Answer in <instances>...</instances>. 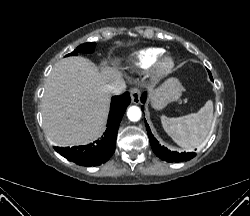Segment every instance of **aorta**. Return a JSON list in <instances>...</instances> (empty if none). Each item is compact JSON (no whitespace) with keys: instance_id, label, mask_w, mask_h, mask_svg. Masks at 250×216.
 I'll use <instances>...</instances> for the list:
<instances>
[{"instance_id":"762f6f07","label":"aorta","mask_w":250,"mask_h":216,"mask_svg":"<svg viewBox=\"0 0 250 216\" xmlns=\"http://www.w3.org/2000/svg\"><path fill=\"white\" fill-rule=\"evenodd\" d=\"M127 116L130 121L136 122L141 118V110L137 106H131L128 108Z\"/></svg>"}]
</instances>
